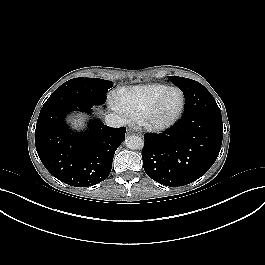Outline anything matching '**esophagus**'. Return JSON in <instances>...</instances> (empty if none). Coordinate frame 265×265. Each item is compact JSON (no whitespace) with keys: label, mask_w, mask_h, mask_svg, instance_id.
I'll use <instances>...</instances> for the list:
<instances>
[{"label":"esophagus","mask_w":265,"mask_h":265,"mask_svg":"<svg viewBox=\"0 0 265 265\" xmlns=\"http://www.w3.org/2000/svg\"><path fill=\"white\" fill-rule=\"evenodd\" d=\"M127 133H128V134H135V131L132 130V129H129Z\"/></svg>","instance_id":"esophagus-1"}]
</instances>
